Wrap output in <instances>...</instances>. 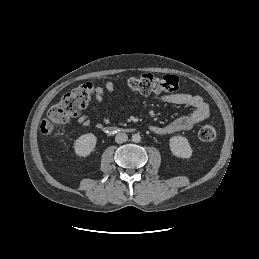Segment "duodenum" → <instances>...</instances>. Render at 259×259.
Here are the masks:
<instances>
[{
	"instance_id": "duodenum-1",
	"label": "duodenum",
	"mask_w": 259,
	"mask_h": 259,
	"mask_svg": "<svg viewBox=\"0 0 259 259\" xmlns=\"http://www.w3.org/2000/svg\"><path fill=\"white\" fill-rule=\"evenodd\" d=\"M108 132H117V131H120L119 128H116V127H107L106 128Z\"/></svg>"
}]
</instances>
